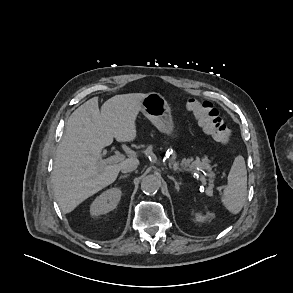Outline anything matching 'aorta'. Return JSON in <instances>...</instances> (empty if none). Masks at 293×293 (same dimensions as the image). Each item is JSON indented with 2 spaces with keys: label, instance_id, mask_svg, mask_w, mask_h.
Returning <instances> with one entry per match:
<instances>
[{
  "label": "aorta",
  "instance_id": "1",
  "mask_svg": "<svg viewBox=\"0 0 293 293\" xmlns=\"http://www.w3.org/2000/svg\"><path fill=\"white\" fill-rule=\"evenodd\" d=\"M161 186L160 179L155 175H147L141 182V190L146 194L156 193Z\"/></svg>",
  "mask_w": 293,
  "mask_h": 293
}]
</instances>
